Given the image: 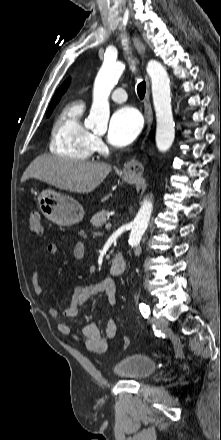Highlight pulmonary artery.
I'll use <instances>...</instances> for the list:
<instances>
[{
  "mask_svg": "<svg viewBox=\"0 0 221 440\" xmlns=\"http://www.w3.org/2000/svg\"><path fill=\"white\" fill-rule=\"evenodd\" d=\"M111 99L114 102L123 103L127 100V93L123 88H117L112 92Z\"/></svg>",
  "mask_w": 221,
  "mask_h": 440,
  "instance_id": "obj_1",
  "label": "pulmonary artery"
}]
</instances>
